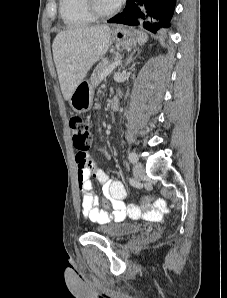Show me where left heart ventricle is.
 <instances>
[{
  "mask_svg": "<svg viewBox=\"0 0 227 298\" xmlns=\"http://www.w3.org/2000/svg\"><path fill=\"white\" fill-rule=\"evenodd\" d=\"M95 2L101 11H108L114 7L110 0H95Z\"/></svg>",
  "mask_w": 227,
  "mask_h": 298,
  "instance_id": "left-heart-ventricle-1",
  "label": "left heart ventricle"
}]
</instances>
